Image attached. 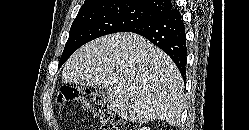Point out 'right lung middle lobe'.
I'll return each instance as SVG.
<instances>
[{"label": "right lung middle lobe", "mask_w": 249, "mask_h": 130, "mask_svg": "<svg viewBox=\"0 0 249 130\" xmlns=\"http://www.w3.org/2000/svg\"><path fill=\"white\" fill-rule=\"evenodd\" d=\"M159 15L129 4L100 2L84 5L73 21L59 67L83 44L111 33L125 32Z\"/></svg>", "instance_id": "1"}]
</instances>
